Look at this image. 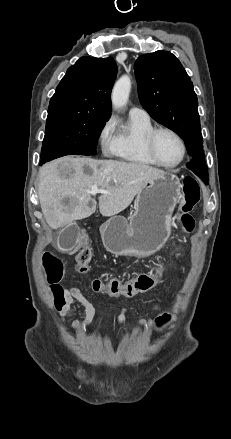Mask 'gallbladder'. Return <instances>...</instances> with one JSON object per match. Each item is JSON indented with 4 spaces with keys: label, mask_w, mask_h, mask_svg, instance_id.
I'll return each instance as SVG.
<instances>
[{
    "label": "gallbladder",
    "mask_w": 231,
    "mask_h": 439,
    "mask_svg": "<svg viewBox=\"0 0 231 439\" xmlns=\"http://www.w3.org/2000/svg\"><path fill=\"white\" fill-rule=\"evenodd\" d=\"M80 234V227L73 223L59 231L57 246L61 251H69L74 248Z\"/></svg>",
    "instance_id": "bac80fb5"
}]
</instances>
